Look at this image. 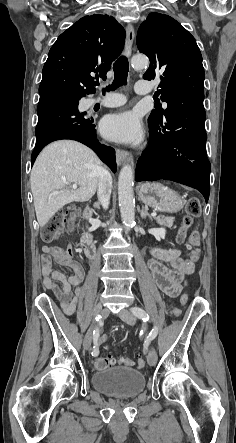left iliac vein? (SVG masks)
<instances>
[{
    "label": "left iliac vein",
    "mask_w": 236,
    "mask_h": 443,
    "mask_svg": "<svg viewBox=\"0 0 236 443\" xmlns=\"http://www.w3.org/2000/svg\"><path fill=\"white\" fill-rule=\"evenodd\" d=\"M119 317L122 321H124L129 325L135 324L136 321L135 316L126 309H123L119 312ZM157 359H158L157 352L153 347H151L147 357L148 364L150 366L156 365Z\"/></svg>",
    "instance_id": "1"
}]
</instances>
